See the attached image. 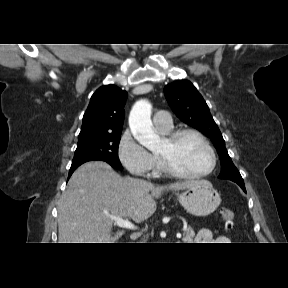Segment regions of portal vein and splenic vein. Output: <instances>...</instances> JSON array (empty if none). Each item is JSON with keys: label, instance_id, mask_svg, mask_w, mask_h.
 I'll use <instances>...</instances> for the list:
<instances>
[{"label": "portal vein and splenic vein", "instance_id": "obj_1", "mask_svg": "<svg viewBox=\"0 0 288 288\" xmlns=\"http://www.w3.org/2000/svg\"><path fill=\"white\" fill-rule=\"evenodd\" d=\"M110 218L115 222V224L119 227L126 228V229H136L137 227L131 223L128 219H122L117 216H110ZM177 238H181V233H177Z\"/></svg>", "mask_w": 288, "mask_h": 288}]
</instances>
